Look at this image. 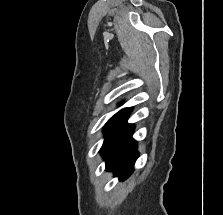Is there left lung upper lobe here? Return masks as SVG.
<instances>
[{"instance_id":"left-lung-upper-lobe-1","label":"left lung upper lobe","mask_w":223,"mask_h":215,"mask_svg":"<svg viewBox=\"0 0 223 215\" xmlns=\"http://www.w3.org/2000/svg\"><path fill=\"white\" fill-rule=\"evenodd\" d=\"M131 111V108H125L116 113L113 117H111L108 122L105 124L103 133L105 134V138L111 132V130Z\"/></svg>"}]
</instances>
